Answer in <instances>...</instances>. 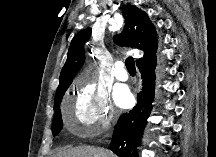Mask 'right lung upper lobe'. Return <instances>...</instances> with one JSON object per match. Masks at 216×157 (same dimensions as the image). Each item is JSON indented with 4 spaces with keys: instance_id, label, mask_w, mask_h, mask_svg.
Listing matches in <instances>:
<instances>
[{
    "instance_id": "obj_1",
    "label": "right lung upper lobe",
    "mask_w": 216,
    "mask_h": 157,
    "mask_svg": "<svg viewBox=\"0 0 216 157\" xmlns=\"http://www.w3.org/2000/svg\"><path fill=\"white\" fill-rule=\"evenodd\" d=\"M125 19L123 31L115 35L114 42L120 46H129L144 51V56L137 60V65L156 56L157 33L147 14L134 5H125L122 9ZM91 35V28L77 33L71 41L67 60L60 73L56 96L72 83L73 78L84 63V43ZM55 96V97H56Z\"/></svg>"
}]
</instances>
